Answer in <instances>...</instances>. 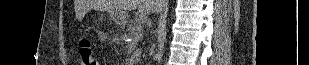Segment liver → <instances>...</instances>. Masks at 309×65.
<instances>
[{
    "label": "liver",
    "instance_id": "6515ba94",
    "mask_svg": "<svg viewBox=\"0 0 309 65\" xmlns=\"http://www.w3.org/2000/svg\"><path fill=\"white\" fill-rule=\"evenodd\" d=\"M165 2L162 0H98L94 3L99 10L110 12L131 11L138 8L139 13H159Z\"/></svg>",
    "mask_w": 309,
    "mask_h": 65
}]
</instances>
